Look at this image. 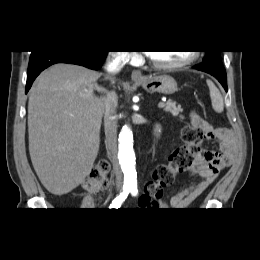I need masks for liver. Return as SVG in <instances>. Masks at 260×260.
Here are the masks:
<instances>
[{
  "label": "liver",
  "instance_id": "obj_1",
  "mask_svg": "<svg viewBox=\"0 0 260 260\" xmlns=\"http://www.w3.org/2000/svg\"><path fill=\"white\" fill-rule=\"evenodd\" d=\"M101 74L59 63L34 82L28 101L29 153L44 187L55 195L83 183L98 155L104 109L93 96Z\"/></svg>",
  "mask_w": 260,
  "mask_h": 260
}]
</instances>
